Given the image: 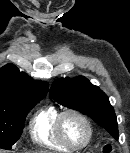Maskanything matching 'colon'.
Here are the masks:
<instances>
[{"label": "colon", "instance_id": "1", "mask_svg": "<svg viewBox=\"0 0 130 153\" xmlns=\"http://www.w3.org/2000/svg\"><path fill=\"white\" fill-rule=\"evenodd\" d=\"M104 150H105V151H109L110 148H109V147H104Z\"/></svg>", "mask_w": 130, "mask_h": 153}]
</instances>
